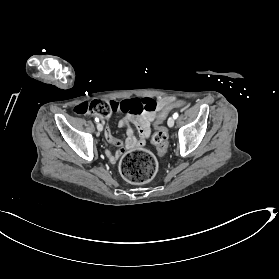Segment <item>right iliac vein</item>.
Instances as JSON below:
<instances>
[{"label": "right iliac vein", "instance_id": "63e3f726", "mask_svg": "<svg viewBox=\"0 0 279 279\" xmlns=\"http://www.w3.org/2000/svg\"><path fill=\"white\" fill-rule=\"evenodd\" d=\"M97 130L102 131L103 130V125L101 123H97Z\"/></svg>", "mask_w": 279, "mask_h": 279}]
</instances>
